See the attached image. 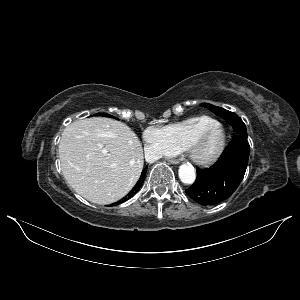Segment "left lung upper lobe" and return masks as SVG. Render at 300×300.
I'll return each mask as SVG.
<instances>
[{
  "instance_id": "1",
  "label": "left lung upper lobe",
  "mask_w": 300,
  "mask_h": 300,
  "mask_svg": "<svg viewBox=\"0 0 300 300\" xmlns=\"http://www.w3.org/2000/svg\"><path fill=\"white\" fill-rule=\"evenodd\" d=\"M202 106L208 108L221 118L225 119L235 130L236 136H241L247 139L246 126L244 122L235 113L207 103H203Z\"/></svg>"
}]
</instances>
